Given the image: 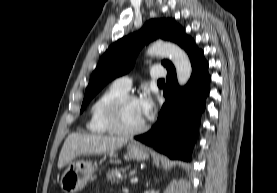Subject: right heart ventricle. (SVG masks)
I'll list each match as a JSON object with an SVG mask.
<instances>
[{
  "label": "right heart ventricle",
  "instance_id": "1",
  "mask_svg": "<svg viewBox=\"0 0 277 193\" xmlns=\"http://www.w3.org/2000/svg\"><path fill=\"white\" fill-rule=\"evenodd\" d=\"M125 93L113 83L97 96L89 109L86 123V128L89 132L98 135L111 133L104 120V109L111 100Z\"/></svg>",
  "mask_w": 277,
  "mask_h": 193
}]
</instances>
